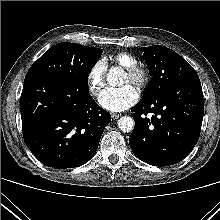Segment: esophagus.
<instances>
[{"label":"esophagus","mask_w":220,"mask_h":220,"mask_svg":"<svg viewBox=\"0 0 220 220\" xmlns=\"http://www.w3.org/2000/svg\"><path fill=\"white\" fill-rule=\"evenodd\" d=\"M111 115L114 120H117L121 117V114H119V113H112Z\"/></svg>","instance_id":"1"}]
</instances>
